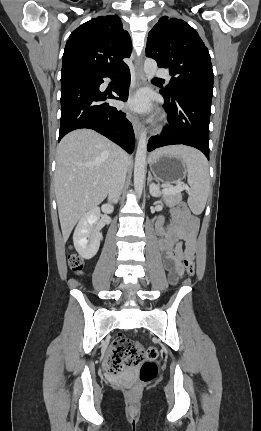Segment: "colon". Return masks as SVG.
Instances as JSON below:
<instances>
[{"label": "colon", "instance_id": "obj_1", "mask_svg": "<svg viewBox=\"0 0 261 431\" xmlns=\"http://www.w3.org/2000/svg\"><path fill=\"white\" fill-rule=\"evenodd\" d=\"M181 209H186V204H180ZM70 268L77 274L82 273L84 260L77 253H71L68 257ZM185 271L192 276L194 274V262L192 256L187 255L183 261ZM158 350L155 347L142 349L137 343L125 335H120L113 342V348L109 357L103 364L104 372L109 376L119 375L124 368L141 365L139 371L140 383L132 387V392H137L141 385L150 382L157 374L155 360L158 357Z\"/></svg>", "mask_w": 261, "mask_h": 431}]
</instances>
